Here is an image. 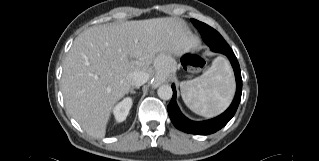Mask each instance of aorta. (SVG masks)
Instances as JSON below:
<instances>
[{
  "label": "aorta",
  "mask_w": 319,
  "mask_h": 161,
  "mask_svg": "<svg viewBox=\"0 0 319 161\" xmlns=\"http://www.w3.org/2000/svg\"><path fill=\"white\" fill-rule=\"evenodd\" d=\"M157 93L162 100H169L172 97L173 91L169 85H162L159 87Z\"/></svg>",
  "instance_id": "aorta-1"
}]
</instances>
